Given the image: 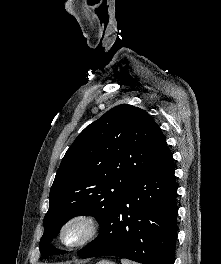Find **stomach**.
<instances>
[{
    "label": "stomach",
    "instance_id": "stomach-1",
    "mask_svg": "<svg viewBox=\"0 0 221 264\" xmlns=\"http://www.w3.org/2000/svg\"><path fill=\"white\" fill-rule=\"evenodd\" d=\"M97 264H115V263L112 261H108V260H102V261H99Z\"/></svg>",
    "mask_w": 221,
    "mask_h": 264
}]
</instances>
